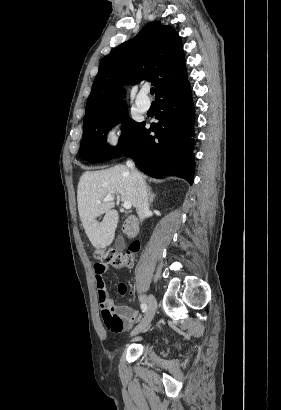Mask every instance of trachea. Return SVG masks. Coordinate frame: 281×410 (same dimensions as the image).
<instances>
[{
	"mask_svg": "<svg viewBox=\"0 0 281 410\" xmlns=\"http://www.w3.org/2000/svg\"><path fill=\"white\" fill-rule=\"evenodd\" d=\"M154 92H155V89H154V88H151V89H150V93H151V95H153V94H154Z\"/></svg>",
	"mask_w": 281,
	"mask_h": 410,
	"instance_id": "1",
	"label": "trachea"
}]
</instances>
